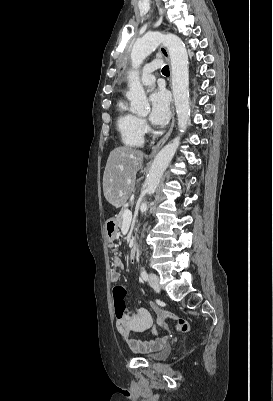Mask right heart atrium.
I'll return each mask as SVG.
<instances>
[{
	"instance_id": "d8ad5b80",
	"label": "right heart atrium",
	"mask_w": 273,
	"mask_h": 401,
	"mask_svg": "<svg viewBox=\"0 0 273 401\" xmlns=\"http://www.w3.org/2000/svg\"><path fill=\"white\" fill-rule=\"evenodd\" d=\"M140 125L144 133L148 131V126L144 119H140Z\"/></svg>"
}]
</instances>
